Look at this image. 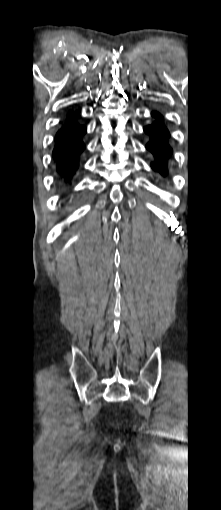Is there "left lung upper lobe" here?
Here are the masks:
<instances>
[{
  "label": "left lung upper lobe",
  "instance_id": "left-lung-upper-lobe-1",
  "mask_svg": "<svg viewBox=\"0 0 221 510\" xmlns=\"http://www.w3.org/2000/svg\"><path fill=\"white\" fill-rule=\"evenodd\" d=\"M152 114H153L154 116H156L157 118H159V119H161V118H162V116H161L160 114L156 113V112H154V113H152Z\"/></svg>",
  "mask_w": 221,
  "mask_h": 510
}]
</instances>
